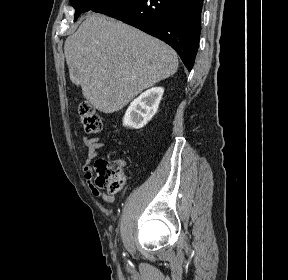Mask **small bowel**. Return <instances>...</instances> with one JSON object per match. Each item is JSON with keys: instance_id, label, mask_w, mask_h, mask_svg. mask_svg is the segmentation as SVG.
Masks as SVG:
<instances>
[{"instance_id": "small-bowel-1", "label": "small bowel", "mask_w": 288, "mask_h": 280, "mask_svg": "<svg viewBox=\"0 0 288 280\" xmlns=\"http://www.w3.org/2000/svg\"><path fill=\"white\" fill-rule=\"evenodd\" d=\"M83 143L88 149V158L82 168L88 187L94 196L101 198L106 204L111 203L114 200V195L102 192L101 189L93 183V171L91 167V161L99 155V150L104 147V143L101 142L98 137H84ZM122 164L125 166L124 162H122Z\"/></svg>"}]
</instances>
